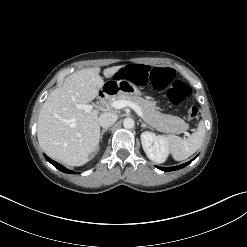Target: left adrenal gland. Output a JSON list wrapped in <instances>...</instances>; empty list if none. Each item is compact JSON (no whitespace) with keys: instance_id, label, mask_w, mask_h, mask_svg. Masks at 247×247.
I'll use <instances>...</instances> for the list:
<instances>
[{"instance_id":"a2214340","label":"left adrenal gland","mask_w":247,"mask_h":247,"mask_svg":"<svg viewBox=\"0 0 247 247\" xmlns=\"http://www.w3.org/2000/svg\"><path fill=\"white\" fill-rule=\"evenodd\" d=\"M139 121L141 122V127H143V128L146 127V128L152 129L151 126L147 125L146 123L142 122L141 120H139Z\"/></svg>"}]
</instances>
